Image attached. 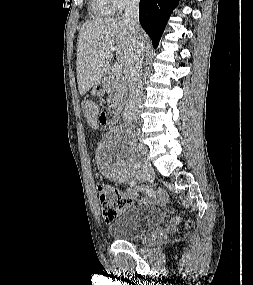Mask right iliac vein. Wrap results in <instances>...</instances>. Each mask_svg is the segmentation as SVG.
Segmentation results:
<instances>
[{"label":"right iliac vein","mask_w":253,"mask_h":285,"mask_svg":"<svg viewBox=\"0 0 253 285\" xmlns=\"http://www.w3.org/2000/svg\"><path fill=\"white\" fill-rule=\"evenodd\" d=\"M152 172L151 164L148 161H145L141 168L140 178L142 181H146Z\"/></svg>","instance_id":"63e3f726"}]
</instances>
